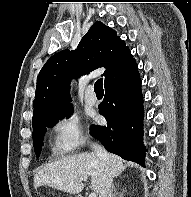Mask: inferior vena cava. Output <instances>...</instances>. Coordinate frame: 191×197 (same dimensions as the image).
Wrapping results in <instances>:
<instances>
[{
  "label": "inferior vena cava",
  "instance_id": "inferior-vena-cava-1",
  "mask_svg": "<svg viewBox=\"0 0 191 197\" xmlns=\"http://www.w3.org/2000/svg\"><path fill=\"white\" fill-rule=\"evenodd\" d=\"M92 149L94 150L96 156L100 159L105 168V175L103 178L99 197H109L113 181L112 172L110 170V155L102 146L98 144L93 143Z\"/></svg>",
  "mask_w": 191,
  "mask_h": 197
}]
</instances>
